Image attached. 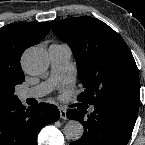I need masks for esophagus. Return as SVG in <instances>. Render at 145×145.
<instances>
[{"label":"esophagus","mask_w":145,"mask_h":145,"mask_svg":"<svg viewBox=\"0 0 145 145\" xmlns=\"http://www.w3.org/2000/svg\"><path fill=\"white\" fill-rule=\"evenodd\" d=\"M59 111H60V117L62 119H67V112L64 108H59Z\"/></svg>","instance_id":"obj_1"}]
</instances>
